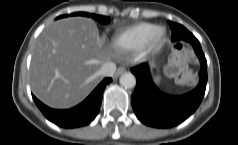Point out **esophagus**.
Returning a JSON list of instances; mask_svg holds the SVG:
<instances>
[{
    "label": "esophagus",
    "mask_w": 238,
    "mask_h": 145,
    "mask_svg": "<svg viewBox=\"0 0 238 145\" xmlns=\"http://www.w3.org/2000/svg\"><path fill=\"white\" fill-rule=\"evenodd\" d=\"M125 72H126V69L124 67H119L115 73V78H117L118 76H120L121 74Z\"/></svg>",
    "instance_id": "obj_1"
}]
</instances>
